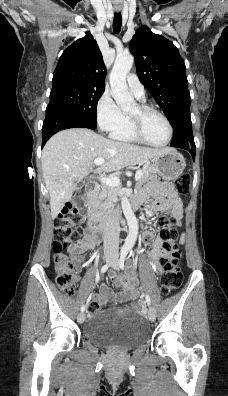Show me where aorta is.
<instances>
[{"label": "aorta", "instance_id": "obj_1", "mask_svg": "<svg viewBox=\"0 0 228 396\" xmlns=\"http://www.w3.org/2000/svg\"><path fill=\"white\" fill-rule=\"evenodd\" d=\"M133 63L134 57L131 54L117 55L110 73L112 96L123 111L130 110L134 105V98L129 92L126 83L127 73L132 68ZM121 207L129 227V233L123 246V250L128 252L137 240L138 222L126 195L122 196Z\"/></svg>", "mask_w": 228, "mask_h": 396}]
</instances>
